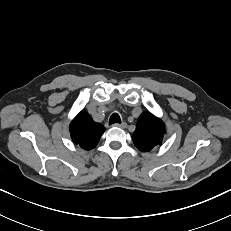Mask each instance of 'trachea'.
I'll list each match as a JSON object with an SVG mask.
<instances>
[{"instance_id":"1","label":"trachea","mask_w":231,"mask_h":231,"mask_svg":"<svg viewBox=\"0 0 231 231\" xmlns=\"http://www.w3.org/2000/svg\"><path fill=\"white\" fill-rule=\"evenodd\" d=\"M114 123H121L120 116L117 113H113L109 119V125Z\"/></svg>"}]
</instances>
